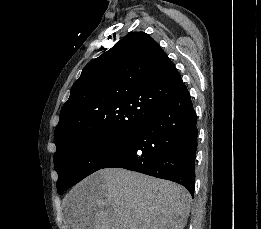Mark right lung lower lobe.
Here are the masks:
<instances>
[{"label": "right lung lower lobe", "instance_id": "1", "mask_svg": "<svg viewBox=\"0 0 261 229\" xmlns=\"http://www.w3.org/2000/svg\"><path fill=\"white\" fill-rule=\"evenodd\" d=\"M197 116L184 84L103 168H124L184 186L193 196Z\"/></svg>", "mask_w": 261, "mask_h": 229}]
</instances>
